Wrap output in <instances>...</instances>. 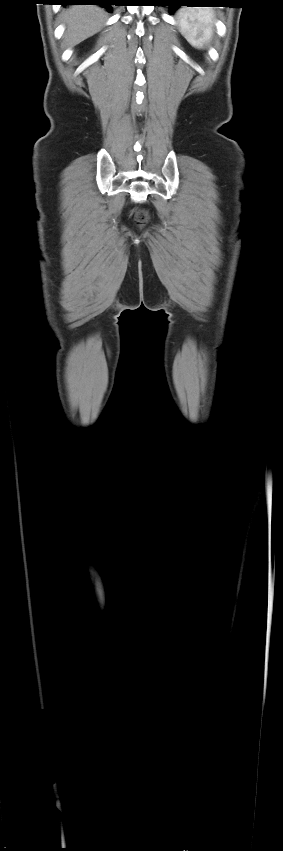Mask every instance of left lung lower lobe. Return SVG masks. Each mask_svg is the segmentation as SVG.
I'll return each instance as SVG.
<instances>
[{
    "label": "left lung lower lobe",
    "mask_w": 283,
    "mask_h": 851,
    "mask_svg": "<svg viewBox=\"0 0 283 851\" xmlns=\"http://www.w3.org/2000/svg\"><path fill=\"white\" fill-rule=\"evenodd\" d=\"M219 2V0H176V2H169L168 6H171V10H175L180 6H205Z\"/></svg>",
    "instance_id": "1"
}]
</instances>
